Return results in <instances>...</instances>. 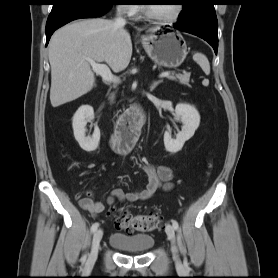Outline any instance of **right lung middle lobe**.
Wrapping results in <instances>:
<instances>
[{
    "mask_svg": "<svg viewBox=\"0 0 278 278\" xmlns=\"http://www.w3.org/2000/svg\"><path fill=\"white\" fill-rule=\"evenodd\" d=\"M67 1L81 2V3L93 4L97 6H104V7L112 6L116 2V0H52L53 8Z\"/></svg>",
    "mask_w": 278,
    "mask_h": 278,
    "instance_id": "right-lung-middle-lobe-1",
    "label": "right lung middle lobe"
}]
</instances>
